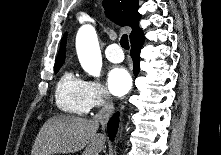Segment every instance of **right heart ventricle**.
<instances>
[{
	"instance_id": "1",
	"label": "right heart ventricle",
	"mask_w": 221,
	"mask_h": 155,
	"mask_svg": "<svg viewBox=\"0 0 221 155\" xmlns=\"http://www.w3.org/2000/svg\"><path fill=\"white\" fill-rule=\"evenodd\" d=\"M55 100L58 108L68 114L85 115L91 109L85 81L71 70H66L61 75L56 86Z\"/></svg>"
}]
</instances>
